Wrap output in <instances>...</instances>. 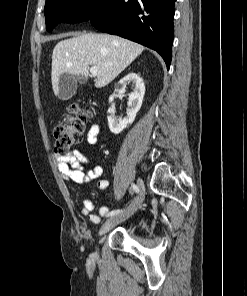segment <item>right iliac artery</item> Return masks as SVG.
Here are the masks:
<instances>
[{
	"label": "right iliac artery",
	"mask_w": 247,
	"mask_h": 296,
	"mask_svg": "<svg viewBox=\"0 0 247 296\" xmlns=\"http://www.w3.org/2000/svg\"><path fill=\"white\" fill-rule=\"evenodd\" d=\"M132 189L136 192V193H138L139 192V187L136 185V184H132ZM120 212H122V210H113V211H111L110 213H109V215H108V217L109 216H114V215H116V214H118V213H120Z\"/></svg>",
	"instance_id": "right-iliac-artery-1"
}]
</instances>
